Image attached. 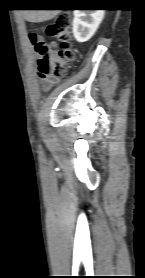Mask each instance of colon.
I'll list each match as a JSON object with an SVG mask.
<instances>
[{
    "mask_svg": "<svg viewBox=\"0 0 145 278\" xmlns=\"http://www.w3.org/2000/svg\"><path fill=\"white\" fill-rule=\"evenodd\" d=\"M71 19L67 14H59L48 23L44 30L48 37L60 41L57 47L53 42L39 39L36 35H30V43L35 47L38 55V70L41 78L49 77L60 80L65 77L74 61L75 52L69 38Z\"/></svg>",
    "mask_w": 145,
    "mask_h": 278,
    "instance_id": "obj_1",
    "label": "colon"
}]
</instances>
